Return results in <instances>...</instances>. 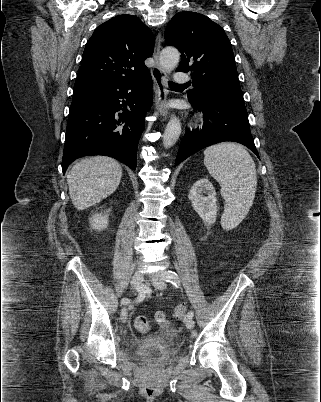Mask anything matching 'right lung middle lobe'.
Segmentation results:
<instances>
[{"label":"right lung middle lobe","instance_id":"dd1d6c3e","mask_svg":"<svg viewBox=\"0 0 321 402\" xmlns=\"http://www.w3.org/2000/svg\"><path fill=\"white\" fill-rule=\"evenodd\" d=\"M81 88V87H80ZM79 89V88H74V90Z\"/></svg>","mask_w":321,"mask_h":402}]
</instances>
